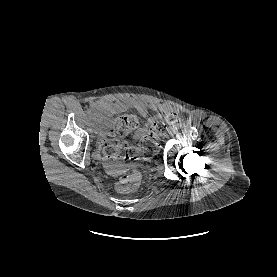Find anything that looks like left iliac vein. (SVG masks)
<instances>
[{
    "label": "left iliac vein",
    "instance_id": "left-iliac-vein-1",
    "mask_svg": "<svg viewBox=\"0 0 277 277\" xmlns=\"http://www.w3.org/2000/svg\"><path fill=\"white\" fill-rule=\"evenodd\" d=\"M176 132H177V129H176L175 126H170V127H169L168 133H169L171 136L175 135Z\"/></svg>",
    "mask_w": 277,
    "mask_h": 277
}]
</instances>
